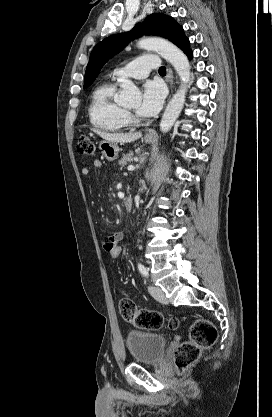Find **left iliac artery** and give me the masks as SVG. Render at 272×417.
Here are the masks:
<instances>
[{"label": "left iliac artery", "instance_id": "left-iliac-artery-1", "mask_svg": "<svg viewBox=\"0 0 272 417\" xmlns=\"http://www.w3.org/2000/svg\"><path fill=\"white\" fill-rule=\"evenodd\" d=\"M138 269H139V271H140V273L142 275L148 277V270H147V268L144 265H142L141 263H139L138 264Z\"/></svg>", "mask_w": 272, "mask_h": 417}]
</instances>
